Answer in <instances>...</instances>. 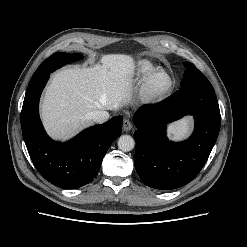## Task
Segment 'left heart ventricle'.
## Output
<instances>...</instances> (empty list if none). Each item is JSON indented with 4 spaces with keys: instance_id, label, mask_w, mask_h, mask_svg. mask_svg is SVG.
<instances>
[{
    "instance_id": "obj_1",
    "label": "left heart ventricle",
    "mask_w": 247,
    "mask_h": 247,
    "mask_svg": "<svg viewBox=\"0 0 247 247\" xmlns=\"http://www.w3.org/2000/svg\"><path fill=\"white\" fill-rule=\"evenodd\" d=\"M168 85H169V81L165 76L156 75L150 83V89L153 93L158 94L165 91Z\"/></svg>"
}]
</instances>
